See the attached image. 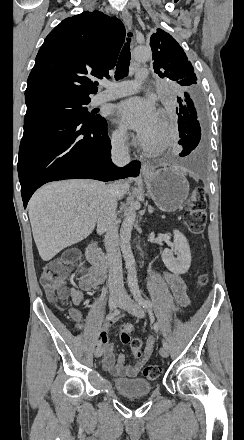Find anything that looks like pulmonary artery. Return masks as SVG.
Instances as JSON below:
<instances>
[{"mask_svg":"<svg viewBox=\"0 0 244 440\" xmlns=\"http://www.w3.org/2000/svg\"><path fill=\"white\" fill-rule=\"evenodd\" d=\"M147 76V71L145 69H138L136 75H131L129 78L130 82L125 83H115L112 82L109 85V92L103 91L96 94L92 98L91 104L93 106L102 104L107 101L115 100L124 96H132L135 91L139 88L140 78H145Z\"/></svg>","mask_w":244,"mask_h":440,"instance_id":"pulmonary-artery-1","label":"pulmonary artery"}]
</instances>
